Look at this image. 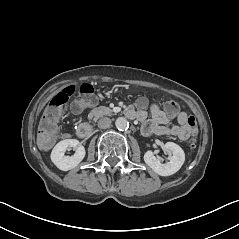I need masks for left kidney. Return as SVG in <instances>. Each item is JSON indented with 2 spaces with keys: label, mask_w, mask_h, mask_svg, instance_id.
<instances>
[{
  "label": "left kidney",
  "mask_w": 239,
  "mask_h": 239,
  "mask_svg": "<svg viewBox=\"0 0 239 239\" xmlns=\"http://www.w3.org/2000/svg\"><path fill=\"white\" fill-rule=\"evenodd\" d=\"M165 149L172 153V157L166 164H161L152 152H146L144 155L145 163L158 175L170 176L180 170L185 161L184 150L174 142H167Z\"/></svg>",
  "instance_id": "1"
}]
</instances>
